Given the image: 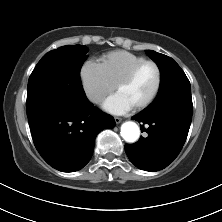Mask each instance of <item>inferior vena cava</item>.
Here are the masks:
<instances>
[{"label": "inferior vena cava", "mask_w": 222, "mask_h": 222, "mask_svg": "<svg viewBox=\"0 0 222 222\" xmlns=\"http://www.w3.org/2000/svg\"><path fill=\"white\" fill-rule=\"evenodd\" d=\"M102 100V97L101 96H94L93 98H92V101L93 102H96V103H98V102H100Z\"/></svg>", "instance_id": "602c4592"}]
</instances>
